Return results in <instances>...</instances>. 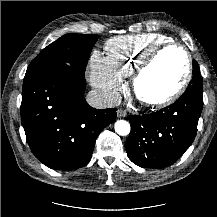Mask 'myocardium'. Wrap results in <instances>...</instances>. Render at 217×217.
<instances>
[{
  "label": "myocardium",
  "mask_w": 217,
  "mask_h": 217,
  "mask_svg": "<svg viewBox=\"0 0 217 217\" xmlns=\"http://www.w3.org/2000/svg\"><path fill=\"white\" fill-rule=\"evenodd\" d=\"M178 49L183 52L187 62V69L185 76L177 87L175 91L170 93L169 95L155 99V100H144L138 96L137 86L141 77L148 71V69L153 65V63L157 60V58L165 51ZM193 77V60L190 52L186 47L179 43L170 42L155 48L151 51L147 57L138 65L131 77V89L134 95L145 105L150 107H163L177 101L187 90L191 80Z\"/></svg>",
  "instance_id": "obj_1"
}]
</instances>
